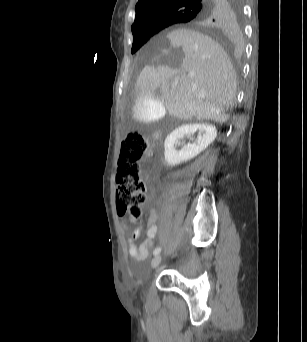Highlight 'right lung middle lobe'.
Segmentation results:
<instances>
[{"instance_id": "right-lung-middle-lobe-1", "label": "right lung middle lobe", "mask_w": 307, "mask_h": 342, "mask_svg": "<svg viewBox=\"0 0 307 342\" xmlns=\"http://www.w3.org/2000/svg\"><path fill=\"white\" fill-rule=\"evenodd\" d=\"M196 15L195 10H183L177 13H174L169 16L167 19L168 24H174V23H180V22H185L190 20ZM159 29L155 30H150V31H145L141 32L138 34L133 35L134 41L131 49V53H135L137 50H139L149 39L152 37L154 34L159 32Z\"/></svg>"}]
</instances>
